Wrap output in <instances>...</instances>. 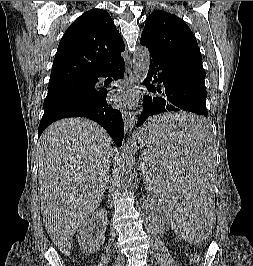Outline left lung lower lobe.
I'll return each instance as SVG.
<instances>
[{"mask_svg":"<svg viewBox=\"0 0 253 266\" xmlns=\"http://www.w3.org/2000/svg\"><path fill=\"white\" fill-rule=\"evenodd\" d=\"M148 50L150 66L144 83L152 95L143 97V111L136 126H141L154 115L169 111L184 110L207 116V93L204 83L206 73L202 60L181 51H158L151 48ZM157 82L162 85H156ZM206 130L207 123L202 117L201 120L185 124L155 126L150 130V135L159 137L183 134L199 138Z\"/></svg>","mask_w":253,"mask_h":266,"instance_id":"obj_1","label":"left lung lower lobe"}]
</instances>
